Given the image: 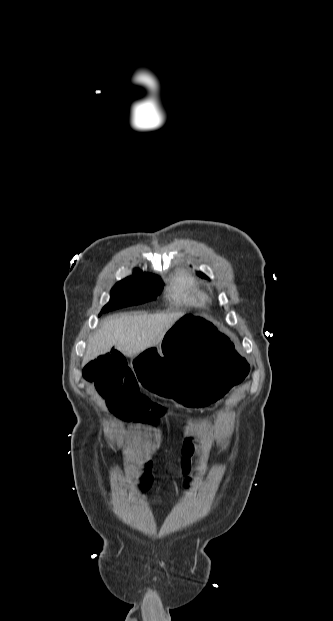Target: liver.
Segmentation results:
<instances>
[{
  "label": "liver",
  "instance_id": "1",
  "mask_svg": "<svg viewBox=\"0 0 333 621\" xmlns=\"http://www.w3.org/2000/svg\"><path fill=\"white\" fill-rule=\"evenodd\" d=\"M182 315L121 314L103 319L100 328L89 338L83 365L108 353L113 346L127 357L137 356L147 348L158 345Z\"/></svg>",
  "mask_w": 333,
  "mask_h": 621
}]
</instances>
